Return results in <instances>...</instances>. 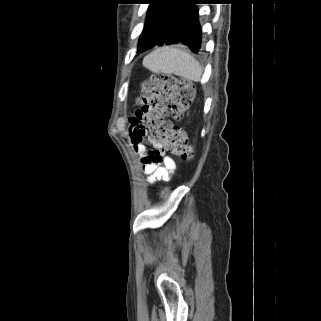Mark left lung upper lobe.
I'll return each mask as SVG.
<instances>
[{
    "mask_svg": "<svg viewBox=\"0 0 321 321\" xmlns=\"http://www.w3.org/2000/svg\"><path fill=\"white\" fill-rule=\"evenodd\" d=\"M180 0H147L150 4L138 51H145L162 39L168 20Z\"/></svg>",
    "mask_w": 321,
    "mask_h": 321,
    "instance_id": "left-lung-upper-lobe-1",
    "label": "left lung upper lobe"
}]
</instances>
